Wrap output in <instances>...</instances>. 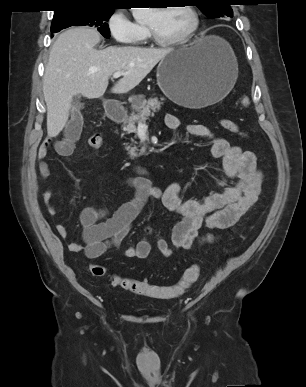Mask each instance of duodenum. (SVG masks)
I'll return each instance as SVG.
<instances>
[{"instance_id": "obj_1", "label": "duodenum", "mask_w": 306, "mask_h": 387, "mask_svg": "<svg viewBox=\"0 0 306 387\" xmlns=\"http://www.w3.org/2000/svg\"><path fill=\"white\" fill-rule=\"evenodd\" d=\"M106 113L107 116L114 122L122 121L125 116V110L114 103H109L106 106Z\"/></svg>"}]
</instances>
